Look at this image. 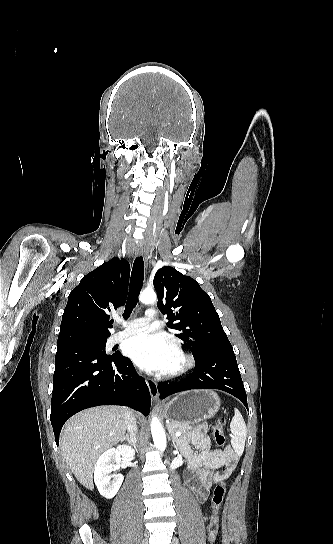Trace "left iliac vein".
Here are the masks:
<instances>
[{
    "instance_id": "1",
    "label": "left iliac vein",
    "mask_w": 333,
    "mask_h": 544,
    "mask_svg": "<svg viewBox=\"0 0 333 544\" xmlns=\"http://www.w3.org/2000/svg\"><path fill=\"white\" fill-rule=\"evenodd\" d=\"M171 544H179V543H178V540L176 538H173Z\"/></svg>"
}]
</instances>
